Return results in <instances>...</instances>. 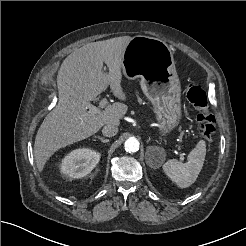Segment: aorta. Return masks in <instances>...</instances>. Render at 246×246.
I'll return each mask as SVG.
<instances>
[{
	"instance_id": "1",
	"label": "aorta",
	"mask_w": 246,
	"mask_h": 246,
	"mask_svg": "<svg viewBox=\"0 0 246 246\" xmlns=\"http://www.w3.org/2000/svg\"><path fill=\"white\" fill-rule=\"evenodd\" d=\"M139 145V141L136 138L130 137L124 143L125 151L128 153L137 152L139 150Z\"/></svg>"
}]
</instances>
